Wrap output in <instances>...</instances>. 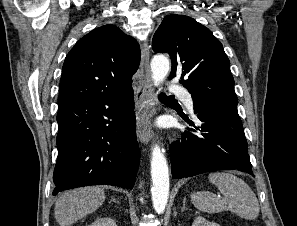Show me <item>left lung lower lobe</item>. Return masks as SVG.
<instances>
[{
  "label": "left lung lower lobe",
  "instance_id": "left-lung-lower-lobe-1",
  "mask_svg": "<svg viewBox=\"0 0 297 226\" xmlns=\"http://www.w3.org/2000/svg\"><path fill=\"white\" fill-rule=\"evenodd\" d=\"M202 125L193 123L181 142L171 144V170L175 179L205 172L236 169L253 176L248 144L236 107L213 105L195 110Z\"/></svg>",
  "mask_w": 297,
  "mask_h": 226
}]
</instances>
